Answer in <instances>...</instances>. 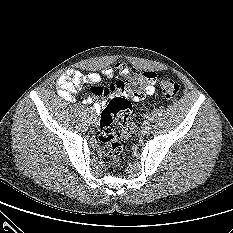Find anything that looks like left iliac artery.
<instances>
[{
	"mask_svg": "<svg viewBox=\"0 0 233 233\" xmlns=\"http://www.w3.org/2000/svg\"><path fill=\"white\" fill-rule=\"evenodd\" d=\"M144 117H145L146 119H148V118L150 117V115H149L148 113H146V114H144Z\"/></svg>",
	"mask_w": 233,
	"mask_h": 233,
	"instance_id": "left-iliac-artery-1",
	"label": "left iliac artery"
}]
</instances>
